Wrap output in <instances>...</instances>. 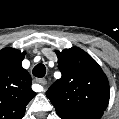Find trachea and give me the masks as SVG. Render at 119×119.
Here are the masks:
<instances>
[{
	"mask_svg": "<svg viewBox=\"0 0 119 119\" xmlns=\"http://www.w3.org/2000/svg\"><path fill=\"white\" fill-rule=\"evenodd\" d=\"M46 73V68L43 64H37L34 68H33V75L35 77L38 78H42L45 76Z\"/></svg>",
	"mask_w": 119,
	"mask_h": 119,
	"instance_id": "obj_1",
	"label": "trachea"
}]
</instances>
